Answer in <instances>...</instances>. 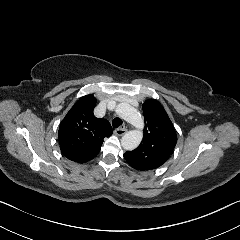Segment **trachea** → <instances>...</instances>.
Wrapping results in <instances>:
<instances>
[{"label": "trachea", "mask_w": 240, "mask_h": 240, "mask_svg": "<svg viewBox=\"0 0 240 240\" xmlns=\"http://www.w3.org/2000/svg\"><path fill=\"white\" fill-rule=\"evenodd\" d=\"M112 125L114 128H118L119 126L122 125V120L120 118H114L112 121Z\"/></svg>", "instance_id": "obj_1"}]
</instances>
